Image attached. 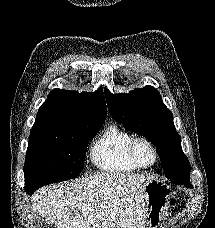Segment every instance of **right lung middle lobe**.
<instances>
[{
	"label": "right lung middle lobe",
	"instance_id": "dd1d6c3e",
	"mask_svg": "<svg viewBox=\"0 0 215 228\" xmlns=\"http://www.w3.org/2000/svg\"><path fill=\"white\" fill-rule=\"evenodd\" d=\"M103 123L76 124L30 133L25 191L75 178L84 168L86 148Z\"/></svg>",
	"mask_w": 215,
	"mask_h": 228
}]
</instances>
